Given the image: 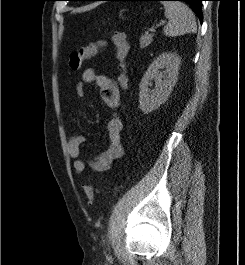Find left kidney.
I'll return each instance as SVG.
<instances>
[{
  "instance_id": "obj_1",
  "label": "left kidney",
  "mask_w": 245,
  "mask_h": 265,
  "mask_svg": "<svg viewBox=\"0 0 245 265\" xmlns=\"http://www.w3.org/2000/svg\"><path fill=\"white\" fill-rule=\"evenodd\" d=\"M180 62L176 53L165 52L149 65L139 84V103L143 113L152 112L168 99L178 79ZM152 80L155 89L150 90Z\"/></svg>"
}]
</instances>
